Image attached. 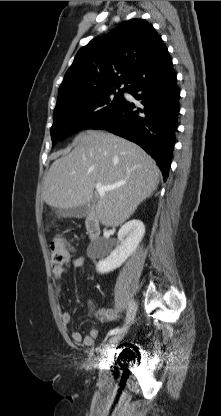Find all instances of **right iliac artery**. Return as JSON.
<instances>
[{
	"instance_id": "right-iliac-artery-1",
	"label": "right iliac artery",
	"mask_w": 221,
	"mask_h": 416,
	"mask_svg": "<svg viewBox=\"0 0 221 416\" xmlns=\"http://www.w3.org/2000/svg\"><path fill=\"white\" fill-rule=\"evenodd\" d=\"M120 331H122V329H120V328H115V329L110 330V331L108 332V335H114V334H116V333H118V332H120Z\"/></svg>"
}]
</instances>
